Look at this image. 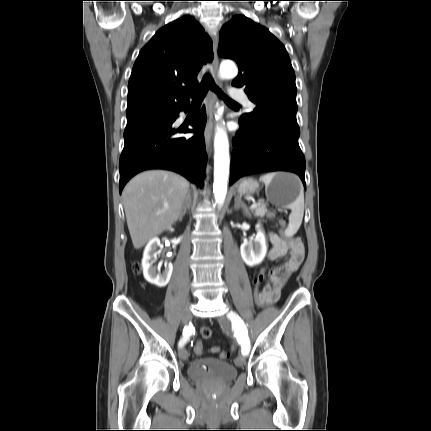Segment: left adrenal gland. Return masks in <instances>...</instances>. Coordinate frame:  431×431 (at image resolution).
<instances>
[{
  "label": "left adrenal gland",
  "mask_w": 431,
  "mask_h": 431,
  "mask_svg": "<svg viewBox=\"0 0 431 431\" xmlns=\"http://www.w3.org/2000/svg\"><path fill=\"white\" fill-rule=\"evenodd\" d=\"M240 208L243 209V212L246 216L251 217V213H250L248 207L245 205V203L241 200L240 197H236L234 200V209L238 210Z\"/></svg>",
  "instance_id": "a2214340"
}]
</instances>
